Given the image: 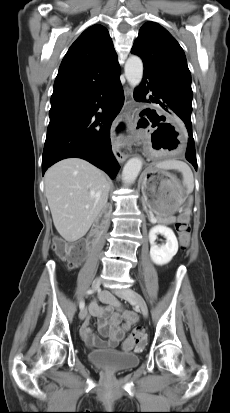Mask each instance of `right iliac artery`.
<instances>
[{
	"label": "right iliac artery",
	"instance_id": "82829eb1",
	"mask_svg": "<svg viewBox=\"0 0 230 413\" xmlns=\"http://www.w3.org/2000/svg\"><path fill=\"white\" fill-rule=\"evenodd\" d=\"M92 293H93V290H88V291H87V294H88V295H89V294H92ZM84 306H85V303H84L83 300H81V301H80V304H79L80 309L82 310V309L84 308Z\"/></svg>",
	"mask_w": 230,
	"mask_h": 413
}]
</instances>
